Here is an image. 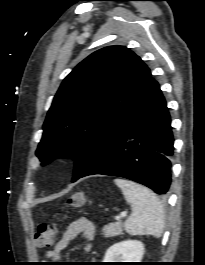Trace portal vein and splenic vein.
I'll use <instances>...</instances> for the list:
<instances>
[{
	"label": "portal vein and splenic vein",
	"mask_w": 205,
	"mask_h": 265,
	"mask_svg": "<svg viewBox=\"0 0 205 265\" xmlns=\"http://www.w3.org/2000/svg\"><path fill=\"white\" fill-rule=\"evenodd\" d=\"M125 216H126V214H121L120 216H116V220H120L121 217H125Z\"/></svg>",
	"instance_id": "obj_1"
}]
</instances>
